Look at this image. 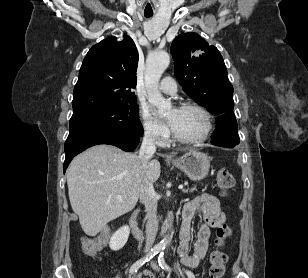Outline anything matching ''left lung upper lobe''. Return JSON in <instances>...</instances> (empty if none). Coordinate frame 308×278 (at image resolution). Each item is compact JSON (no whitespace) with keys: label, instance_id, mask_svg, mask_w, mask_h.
<instances>
[{"label":"left lung upper lobe","instance_id":"5c2ea615","mask_svg":"<svg viewBox=\"0 0 308 278\" xmlns=\"http://www.w3.org/2000/svg\"><path fill=\"white\" fill-rule=\"evenodd\" d=\"M170 52L184 92L213 114L233 113V86L216 47L196 33H184L173 40Z\"/></svg>","mask_w":308,"mask_h":278}]
</instances>
